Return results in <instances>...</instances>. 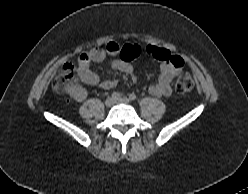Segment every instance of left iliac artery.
<instances>
[{
    "mask_svg": "<svg viewBox=\"0 0 248 194\" xmlns=\"http://www.w3.org/2000/svg\"><path fill=\"white\" fill-rule=\"evenodd\" d=\"M129 99H130L131 101L136 100V95H135L134 93L130 94V95H129Z\"/></svg>",
    "mask_w": 248,
    "mask_h": 194,
    "instance_id": "44dca946",
    "label": "left iliac artery"
}]
</instances>
